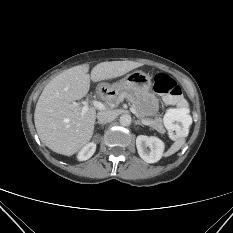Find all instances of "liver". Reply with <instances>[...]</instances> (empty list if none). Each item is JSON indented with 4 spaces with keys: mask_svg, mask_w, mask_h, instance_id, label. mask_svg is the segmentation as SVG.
<instances>
[{
    "mask_svg": "<svg viewBox=\"0 0 233 233\" xmlns=\"http://www.w3.org/2000/svg\"><path fill=\"white\" fill-rule=\"evenodd\" d=\"M133 61H111L74 66L53 78L42 91L35 108L34 123L41 142L56 153L73 155L92 138L96 109L89 107L82 116L80 105L73 106L90 89V82L122 76L142 66Z\"/></svg>",
    "mask_w": 233,
    "mask_h": 233,
    "instance_id": "liver-1",
    "label": "liver"
}]
</instances>
